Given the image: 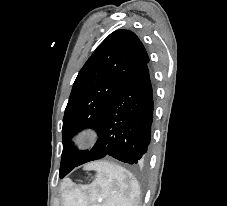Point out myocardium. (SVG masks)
Returning a JSON list of instances; mask_svg holds the SVG:
<instances>
[{
    "mask_svg": "<svg viewBox=\"0 0 227 206\" xmlns=\"http://www.w3.org/2000/svg\"><path fill=\"white\" fill-rule=\"evenodd\" d=\"M98 138V129L93 126H87L76 133L73 138V144L78 150H88L96 144Z\"/></svg>",
    "mask_w": 227,
    "mask_h": 206,
    "instance_id": "obj_1",
    "label": "myocardium"
}]
</instances>
